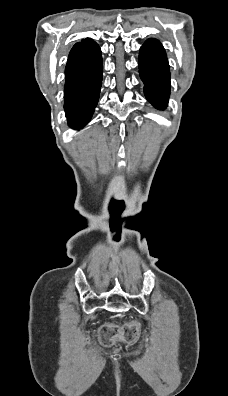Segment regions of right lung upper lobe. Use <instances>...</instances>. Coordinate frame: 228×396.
<instances>
[{
	"label": "right lung upper lobe",
	"mask_w": 228,
	"mask_h": 396,
	"mask_svg": "<svg viewBox=\"0 0 228 396\" xmlns=\"http://www.w3.org/2000/svg\"><path fill=\"white\" fill-rule=\"evenodd\" d=\"M95 42L91 39L86 38L85 40H82L80 44H84L86 46H92Z\"/></svg>",
	"instance_id": "obj_1"
}]
</instances>
